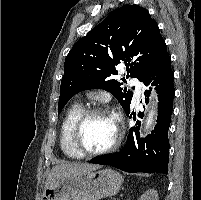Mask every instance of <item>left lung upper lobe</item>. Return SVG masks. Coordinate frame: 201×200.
Segmentation results:
<instances>
[{"label": "left lung upper lobe", "instance_id": "obj_1", "mask_svg": "<svg viewBox=\"0 0 201 200\" xmlns=\"http://www.w3.org/2000/svg\"><path fill=\"white\" fill-rule=\"evenodd\" d=\"M166 52L158 25L146 9L128 4L114 10L68 53L58 111L76 93L97 88L110 92L129 112L133 93L122 88V82L112 79L115 65L124 62L126 77L142 81Z\"/></svg>", "mask_w": 201, "mask_h": 200}]
</instances>
